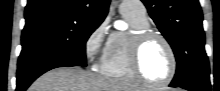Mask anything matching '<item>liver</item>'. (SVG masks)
Listing matches in <instances>:
<instances>
[{"label":"liver","instance_id":"6515ba94","mask_svg":"<svg viewBox=\"0 0 220 91\" xmlns=\"http://www.w3.org/2000/svg\"><path fill=\"white\" fill-rule=\"evenodd\" d=\"M28 91H140L120 80L87 73L78 67H62L40 76Z\"/></svg>","mask_w":220,"mask_h":91}]
</instances>
